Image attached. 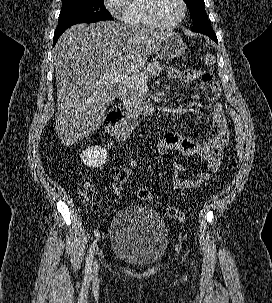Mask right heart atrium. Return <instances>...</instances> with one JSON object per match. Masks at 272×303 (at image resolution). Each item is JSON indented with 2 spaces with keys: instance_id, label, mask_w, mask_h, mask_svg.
Segmentation results:
<instances>
[{
  "instance_id": "obj_1",
  "label": "right heart atrium",
  "mask_w": 272,
  "mask_h": 303,
  "mask_svg": "<svg viewBox=\"0 0 272 303\" xmlns=\"http://www.w3.org/2000/svg\"><path fill=\"white\" fill-rule=\"evenodd\" d=\"M129 0H104L107 10L116 18L123 19Z\"/></svg>"
}]
</instances>
